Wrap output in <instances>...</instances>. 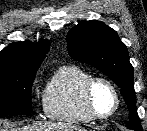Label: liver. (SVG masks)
I'll use <instances>...</instances> for the list:
<instances>
[{
  "instance_id": "liver-1",
  "label": "liver",
  "mask_w": 147,
  "mask_h": 131,
  "mask_svg": "<svg viewBox=\"0 0 147 131\" xmlns=\"http://www.w3.org/2000/svg\"><path fill=\"white\" fill-rule=\"evenodd\" d=\"M0 131H8L3 129L0 124ZM11 131H86L84 128L70 123L63 122H39L24 126L19 129H12Z\"/></svg>"
}]
</instances>
